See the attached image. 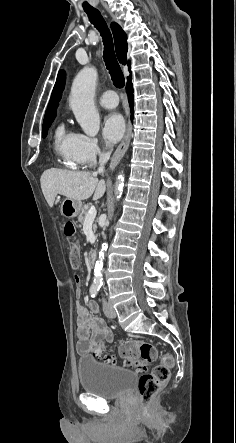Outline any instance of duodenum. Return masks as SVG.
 <instances>
[{
    "label": "duodenum",
    "instance_id": "duodenum-1",
    "mask_svg": "<svg viewBox=\"0 0 236 443\" xmlns=\"http://www.w3.org/2000/svg\"><path fill=\"white\" fill-rule=\"evenodd\" d=\"M96 261V255L94 253H90L88 256V263L90 266H93Z\"/></svg>",
    "mask_w": 236,
    "mask_h": 443
}]
</instances>
